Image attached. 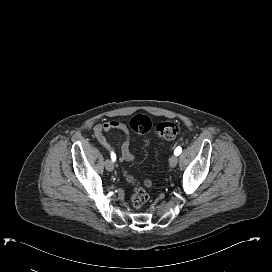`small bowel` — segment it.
I'll return each instance as SVG.
<instances>
[{
    "label": "small bowel",
    "mask_w": 272,
    "mask_h": 272,
    "mask_svg": "<svg viewBox=\"0 0 272 272\" xmlns=\"http://www.w3.org/2000/svg\"><path fill=\"white\" fill-rule=\"evenodd\" d=\"M121 131L125 139L121 145V150L118 155V159L121 162H131L133 160V155L130 152L129 149V143H130V132L126 124L123 122L117 121V120H111L107 121L101 124H97L94 127V135L97 139V141L103 145L106 149L113 152L112 147L109 145L108 139L106 137V134L111 131Z\"/></svg>",
    "instance_id": "small-bowel-1"
}]
</instances>
